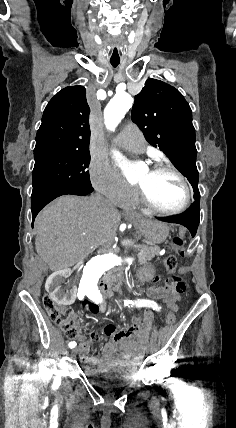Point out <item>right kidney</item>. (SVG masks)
<instances>
[{
	"label": "right kidney",
	"mask_w": 236,
	"mask_h": 428,
	"mask_svg": "<svg viewBox=\"0 0 236 428\" xmlns=\"http://www.w3.org/2000/svg\"><path fill=\"white\" fill-rule=\"evenodd\" d=\"M51 277L47 279V291L52 292L51 300L55 306H69L73 304L74 293L78 291L77 283H65L68 278L75 276V271L71 269H52Z\"/></svg>",
	"instance_id": "obj_1"
}]
</instances>
